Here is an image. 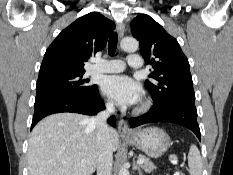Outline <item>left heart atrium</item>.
<instances>
[{"mask_svg": "<svg viewBox=\"0 0 233 175\" xmlns=\"http://www.w3.org/2000/svg\"><path fill=\"white\" fill-rule=\"evenodd\" d=\"M103 92L122 106L136 104L141 96L140 85L125 75L109 76L105 79Z\"/></svg>", "mask_w": 233, "mask_h": 175, "instance_id": "39dd6f15", "label": "left heart atrium"}]
</instances>
